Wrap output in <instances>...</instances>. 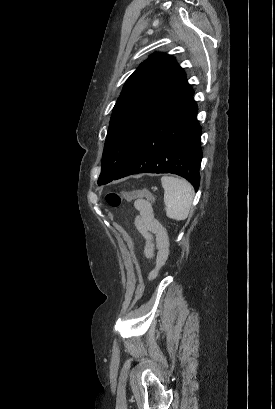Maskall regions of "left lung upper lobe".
Listing matches in <instances>:
<instances>
[{
  "mask_svg": "<svg viewBox=\"0 0 275 409\" xmlns=\"http://www.w3.org/2000/svg\"><path fill=\"white\" fill-rule=\"evenodd\" d=\"M193 92L171 55L154 53L141 63L114 106L98 185L111 182L148 129Z\"/></svg>",
  "mask_w": 275,
  "mask_h": 409,
  "instance_id": "left-lung-upper-lobe-1",
  "label": "left lung upper lobe"
}]
</instances>
